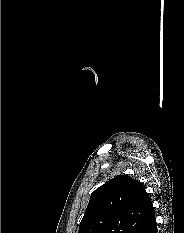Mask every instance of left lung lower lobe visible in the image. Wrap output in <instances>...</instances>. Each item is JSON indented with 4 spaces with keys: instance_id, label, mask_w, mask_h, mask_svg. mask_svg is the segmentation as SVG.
Here are the masks:
<instances>
[{
    "instance_id": "0a47b994",
    "label": "left lung lower lobe",
    "mask_w": 184,
    "mask_h": 233,
    "mask_svg": "<svg viewBox=\"0 0 184 233\" xmlns=\"http://www.w3.org/2000/svg\"><path fill=\"white\" fill-rule=\"evenodd\" d=\"M141 233H157V224H156V218L154 215V210L152 208L151 213L149 215L148 221L143 228Z\"/></svg>"
}]
</instances>
